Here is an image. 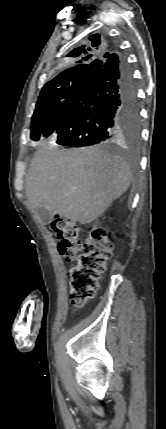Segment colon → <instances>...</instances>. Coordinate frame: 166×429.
Wrapping results in <instances>:
<instances>
[{
  "label": "colon",
  "mask_w": 166,
  "mask_h": 429,
  "mask_svg": "<svg viewBox=\"0 0 166 429\" xmlns=\"http://www.w3.org/2000/svg\"><path fill=\"white\" fill-rule=\"evenodd\" d=\"M52 228L59 253L66 260H77L70 272V300L73 306L82 307L97 291L100 275L112 255V243L106 229L99 225L91 229L84 243L77 224L71 220L56 218Z\"/></svg>",
  "instance_id": "colon-1"
}]
</instances>
